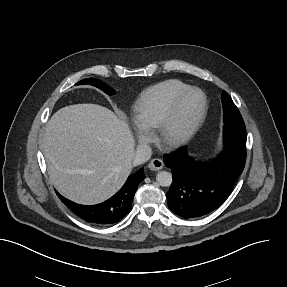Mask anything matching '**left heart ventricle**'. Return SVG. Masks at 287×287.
<instances>
[{
  "label": "left heart ventricle",
  "mask_w": 287,
  "mask_h": 287,
  "mask_svg": "<svg viewBox=\"0 0 287 287\" xmlns=\"http://www.w3.org/2000/svg\"><path fill=\"white\" fill-rule=\"evenodd\" d=\"M198 97L196 94H190L181 102L178 112L173 120L171 132H179L192 118L197 105Z\"/></svg>",
  "instance_id": "left-heart-ventricle-1"
}]
</instances>
